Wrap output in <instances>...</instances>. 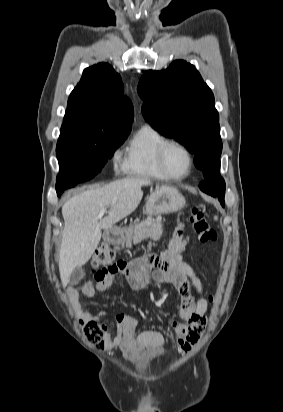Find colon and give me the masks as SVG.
Here are the masks:
<instances>
[{"mask_svg":"<svg viewBox=\"0 0 283 412\" xmlns=\"http://www.w3.org/2000/svg\"><path fill=\"white\" fill-rule=\"evenodd\" d=\"M190 220L193 228L203 243H214L217 239L216 231L211 227L205 212L199 207H193L190 213ZM184 246V240L181 231L174 232L169 241L167 250L157 257H144L132 262L136 270L149 271L153 266L166 267L168 261L178 255ZM92 264L95 268V276L102 278L107 275L117 274L127 268L128 262L123 260L114 261V252L107 245H100L92 258ZM212 301L213 297L210 296ZM81 327L87 340L93 344H99L102 341L105 332V326L97 321H81Z\"/></svg>","mask_w":283,"mask_h":412,"instance_id":"obj_1","label":"colon"}]
</instances>
